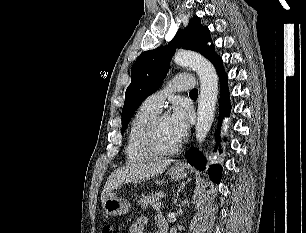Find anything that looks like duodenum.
I'll use <instances>...</instances> for the list:
<instances>
[{"instance_id":"duodenum-1","label":"duodenum","mask_w":306,"mask_h":233,"mask_svg":"<svg viewBox=\"0 0 306 233\" xmlns=\"http://www.w3.org/2000/svg\"><path fill=\"white\" fill-rule=\"evenodd\" d=\"M159 231L160 233H167V225H161Z\"/></svg>"}]
</instances>
